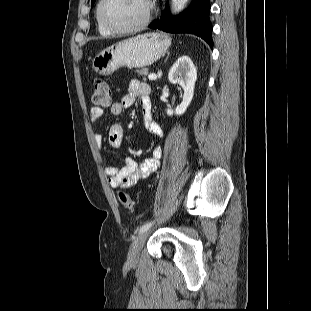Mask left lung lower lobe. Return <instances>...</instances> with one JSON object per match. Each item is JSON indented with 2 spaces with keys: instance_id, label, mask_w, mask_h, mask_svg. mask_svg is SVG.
Masks as SVG:
<instances>
[{
  "instance_id": "obj_1",
  "label": "left lung lower lobe",
  "mask_w": 311,
  "mask_h": 311,
  "mask_svg": "<svg viewBox=\"0 0 311 311\" xmlns=\"http://www.w3.org/2000/svg\"><path fill=\"white\" fill-rule=\"evenodd\" d=\"M209 0H192L189 8L179 16L168 13V7L161 13L160 19L154 20L150 28L169 33H189L204 39L212 47V25L209 20Z\"/></svg>"
}]
</instances>
